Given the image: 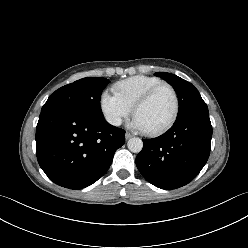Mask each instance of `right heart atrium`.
Wrapping results in <instances>:
<instances>
[{"instance_id": "d8ad5b80", "label": "right heart atrium", "mask_w": 248, "mask_h": 248, "mask_svg": "<svg viewBox=\"0 0 248 248\" xmlns=\"http://www.w3.org/2000/svg\"><path fill=\"white\" fill-rule=\"evenodd\" d=\"M100 108L105 119L114 126H119L132 110L115 94L107 91L101 94Z\"/></svg>"}]
</instances>
